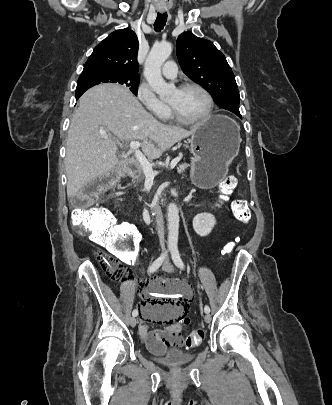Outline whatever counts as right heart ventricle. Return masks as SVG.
Wrapping results in <instances>:
<instances>
[{
	"instance_id": "right-heart-ventricle-1",
	"label": "right heart ventricle",
	"mask_w": 332,
	"mask_h": 405,
	"mask_svg": "<svg viewBox=\"0 0 332 405\" xmlns=\"http://www.w3.org/2000/svg\"><path fill=\"white\" fill-rule=\"evenodd\" d=\"M170 115H169V113H168V115L166 116V117H169Z\"/></svg>"
}]
</instances>
